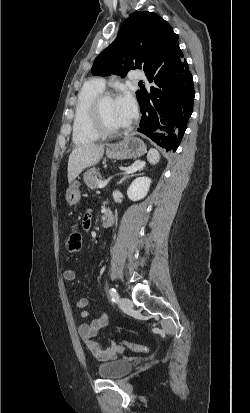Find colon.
I'll list each match as a JSON object with an SVG mask.
<instances>
[{
  "mask_svg": "<svg viewBox=\"0 0 250 413\" xmlns=\"http://www.w3.org/2000/svg\"><path fill=\"white\" fill-rule=\"evenodd\" d=\"M65 245L69 252L79 251L82 247L81 232L76 228H71L67 233ZM120 344L137 353H147L149 351V347L146 345L132 344L126 341H121Z\"/></svg>",
  "mask_w": 250,
  "mask_h": 413,
  "instance_id": "5ec220e1",
  "label": "colon"
}]
</instances>
